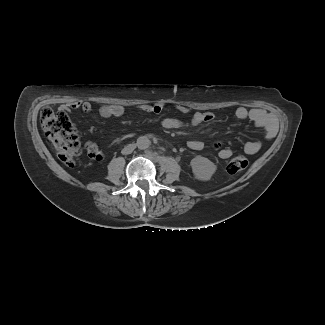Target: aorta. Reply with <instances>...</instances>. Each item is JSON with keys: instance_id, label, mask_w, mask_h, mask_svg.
<instances>
[{"instance_id": "aorta-1", "label": "aorta", "mask_w": 325, "mask_h": 325, "mask_svg": "<svg viewBox=\"0 0 325 325\" xmlns=\"http://www.w3.org/2000/svg\"><path fill=\"white\" fill-rule=\"evenodd\" d=\"M137 147L140 150H145L151 145V141L146 136H140L136 142Z\"/></svg>"}]
</instances>
